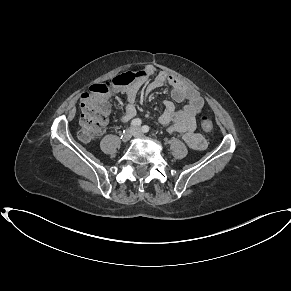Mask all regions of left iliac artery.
Instances as JSON below:
<instances>
[{
    "instance_id": "44dca946",
    "label": "left iliac artery",
    "mask_w": 291,
    "mask_h": 291,
    "mask_svg": "<svg viewBox=\"0 0 291 291\" xmlns=\"http://www.w3.org/2000/svg\"><path fill=\"white\" fill-rule=\"evenodd\" d=\"M149 126H147V125H144L143 127H142V132H144V133H147V132H149Z\"/></svg>"
}]
</instances>
